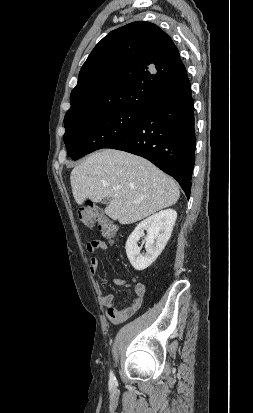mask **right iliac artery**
I'll list each match as a JSON object with an SVG mask.
<instances>
[{
	"instance_id": "82829eb1",
	"label": "right iliac artery",
	"mask_w": 253,
	"mask_h": 413,
	"mask_svg": "<svg viewBox=\"0 0 253 413\" xmlns=\"http://www.w3.org/2000/svg\"><path fill=\"white\" fill-rule=\"evenodd\" d=\"M110 380H111V381H114V380H115V376H114V374H113L112 371H110Z\"/></svg>"
}]
</instances>
